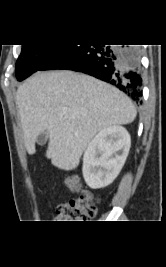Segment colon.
Segmentation results:
<instances>
[{
    "label": "colon",
    "instance_id": "1",
    "mask_svg": "<svg viewBox=\"0 0 166 267\" xmlns=\"http://www.w3.org/2000/svg\"><path fill=\"white\" fill-rule=\"evenodd\" d=\"M72 185L81 190V195L68 202L61 203L57 207L58 220L60 223L80 222L89 220L96 214L99 199L90 191L81 189V185L76 179H70Z\"/></svg>",
    "mask_w": 166,
    "mask_h": 267
}]
</instances>
